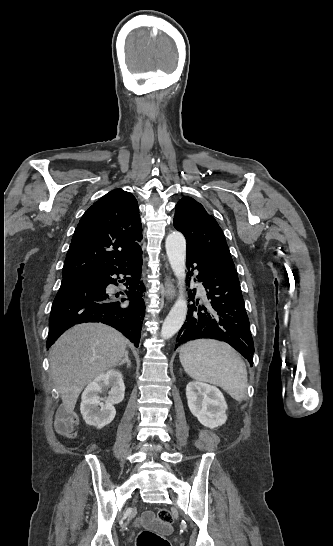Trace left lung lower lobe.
<instances>
[{"label":"left lung lower lobe","instance_id":"left-lung-lower-lobe-1","mask_svg":"<svg viewBox=\"0 0 333 546\" xmlns=\"http://www.w3.org/2000/svg\"><path fill=\"white\" fill-rule=\"evenodd\" d=\"M186 266L198 271L197 279L202 282L207 298L202 304L197 300L191 305L175 349L189 340L219 339L239 351L252 366L254 343L236 269L213 265L188 247ZM195 293L193 289V302Z\"/></svg>","mask_w":333,"mask_h":546}]
</instances>
